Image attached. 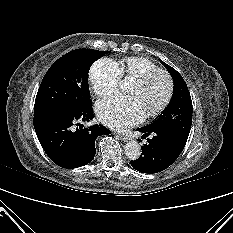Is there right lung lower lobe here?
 Listing matches in <instances>:
<instances>
[{
  "label": "right lung lower lobe",
  "mask_w": 233,
  "mask_h": 233,
  "mask_svg": "<svg viewBox=\"0 0 233 233\" xmlns=\"http://www.w3.org/2000/svg\"><path fill=\"white\" fill-rule=\"evenodd\" d=\"M94 117L92 105L75 111L48 112L34 116L33 124L41 146L48 157L66 169L81 167L95 156V140L111 131L102 125L73 130L78 122Z\"/></svg>",
  "instance_id": "obj_1"
}]
</instances>
